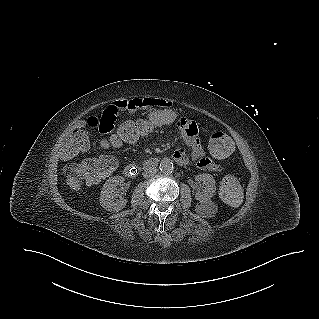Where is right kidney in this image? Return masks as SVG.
<instances>
[{"instance_id":"ca27d5eb","label":"right kidney","mask_w":319,"mask_h":319,"mask_svg":"<svg viewBox=\"0 0 319 319\" xmlns=\"http://www.w3.org/2000/svg\"><path fill=\"white\" fill-rule=\"evenodd\" d=\"M124 178L122 176H114L109 178L104 184L101 190L100 204L107 211L118 212L122 210L127 203V200L119 197L115 199L117 195H114V190L117 186L122 185Z\"/></svg>"}]
</instances>
